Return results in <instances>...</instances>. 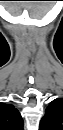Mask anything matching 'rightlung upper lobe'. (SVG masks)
Masks as SVG:
<instances>
[{
    "label": "right lung upper lobe",
    "mask_w": 63,
    "mask_h": 130,
    "mask_svg": "<svg viewBox=\"0 0 63 130\" xmlns=\"http://www.w3.org/2000/svg\"><path fill=\"white\" fill-rule=\"evenodd\" d=\"M0 129L23 130V119L11 104L0 103Z\"/></svg>",
    "instance_id": "cb5924a9"
}]
</instances>
